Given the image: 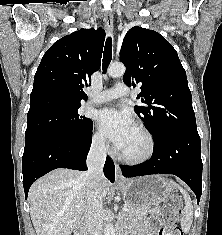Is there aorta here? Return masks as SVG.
<instances>
[{
	"label": "aorta",
	"mask_w": 222,
	"mask_h": 235,
	"mask_svg": "<svg viewBox=\"0 0 222 235\" xmlns=\"http://www.w3.org/2000/svg\"><path fill=\"white\" fill-rule=\"evenodd\" d=\"M125 71L126 68L122 63H112L107 69V73L111 77L123 76ZM104 235H115V229L111 223L105 226Z\"/></svg>",
	"instance_id": "762f6f07"
}]
</instances>
